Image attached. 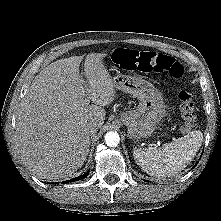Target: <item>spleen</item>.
<instances>
[{
	"label": "spleen",
	"instance_id": "1",
	"mask_svg": "<svg viewBox=\"0 0 221 221\" xmlns=\"http://www.w3.org/2000/svg\"><path fill=\"white\" fill-rule=\"evenodd\" d=\"M203 140L201 131H192L162 147L134 149V159L147 174L169 177L183 170L199 150Z\"/></svg>",
	"mask_w": 221,
	"mask_h": 221
}]
</instances>
